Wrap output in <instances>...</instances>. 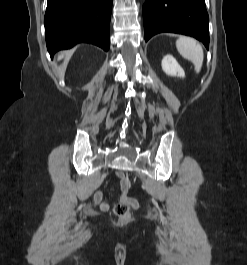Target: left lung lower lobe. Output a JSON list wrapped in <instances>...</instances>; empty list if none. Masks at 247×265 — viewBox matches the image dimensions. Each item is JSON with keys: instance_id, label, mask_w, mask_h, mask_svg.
<instances>
[{"instance_id": "obj_1", "label": "left lung lower lobe", "mask_w": 247, "mask_h": 265, "mask_svg": "<svg viewBox=\"0 0 247 265\" xmlns=\"http://www.w3.org/2000/svg\"><path fill=\"white\" fill-rule=\"evenodd\" d=\"M145 41L161 32L192 36L208 49L209 17L204 0H146L143 6Z\"/></svg>"}]
</instances>
